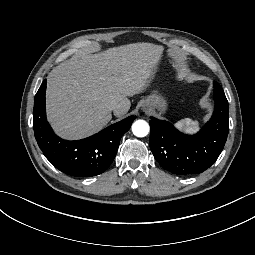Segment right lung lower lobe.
Masks as SVG:
<instances>
[{
  "instance_id": "1",
  "label": "right lung lower lobe",
  "mask_w": 255,
  "mask_h": 255,
  "mask_svg": "<svg viewBox=\"0 0 255 255\" xmlns=\"http://www.w3.org/2000/svg\"><path fill=\"white\" fill-rule=\"evenodd\" d=\"M46 79L34 101L33 128L36 141L45 157L60 171L77 177L103 173L113 162L121 137L130 129L136 116H129L99 133L77 141L56 136L46 120Z\"/></svg>"
}]
</instances>
